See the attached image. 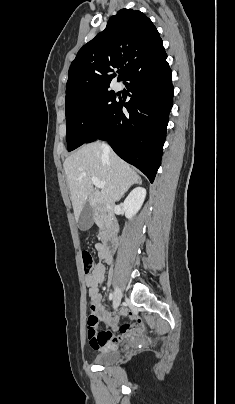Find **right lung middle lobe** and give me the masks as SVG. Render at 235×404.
Wrapping results in <instances>:
<instances>
[{"mask_svg":"<svg viewBox=\"0 0 235 404\" xmlns=\"http://www.w3.org/2000/svg\"><path fill=\"white\" fill-rule=\"evenodd\" d=\"M116 104L115 93L108 89L66 102L68 151L84 144Z\"/></svg>","mask_w":235,"mask_h":404,"instance_id":"dd1d6c3e","label":"right lung middle lobe"}]
</instances>
